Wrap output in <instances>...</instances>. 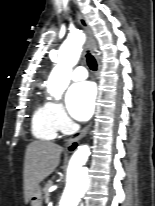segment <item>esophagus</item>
<instances>
[{
  "instance_id": "1",
  "label": "esophagus",
  "mask_w": 155,
  "mask_h": 206,
  "mask_svg": "<svg viewBox=\"0 0 155 206\" xmlns=\"http://www.w3.org/2000/svg\"><path fill=\"white\" fill-rule=\"evenodd\" d=\"M76 16H77V19H78V22L80 24V26L83 28V30L85 31L86 35H87V43H88V46L90 47L91 51L93 52V54L95 55V57L97 58V62H98V70H100L101 68V65H100V62H99V59L96 55V52H97V45H96V42L91 34V31H90V28L88 26V23L87 21L85 20V18L79 13V12H76ZM92 126V123H90L89 125H87L82 131L81 133L75 137V138H72V139H69L66 143V146H67V149L70 150V151H73L77 148V145H78V141L80 139H82L84 136H86V134L88 133V131L90 130Z\"/></svg>"
}]
</instances>
